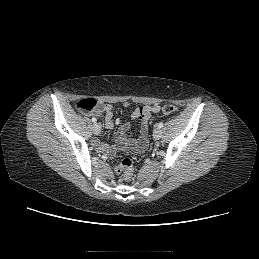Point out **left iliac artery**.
Segmentation results:
<instances>
[{"label":"left iliac artery","instance_id":"left-iliac-artery-1","mask_svg":"<svg viewBox=\"0 0 259 259\" xmlns=\"http://www.w3.org/2000/svg\"><path fill=\"white\" fill-rule=\"evenodd\" d=\"M158 127H159V128L163 127V122H160V123L158 124Z\"/></svg>","mask_w":259,"mask_h":259}]
</instances>
